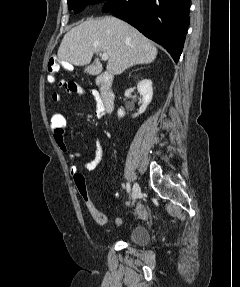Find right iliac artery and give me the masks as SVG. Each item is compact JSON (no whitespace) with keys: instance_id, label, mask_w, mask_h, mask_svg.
<instances>
[{"instance_id":"right-iliac-artery-1","label":"right iliac artery","mask_w":240,"mask_h":287,"mask_svg":"<svg viewBox=\"0 0 240 287\" xmlns=\"http://www.w3.org/2000/svg\"><path fill=\"white\" fill-rule=\"evenodd\" d=\"M126 190H127V193H130L131 187H130V184H129V183L126 184Z\"/></svg>"}]
</instances>
